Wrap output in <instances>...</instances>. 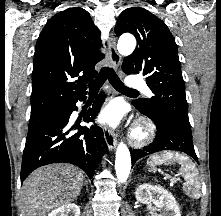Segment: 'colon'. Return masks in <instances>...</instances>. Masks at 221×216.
<instances>
[{
  "label": "colon",
  "instance_id": "colon-1",
  "mask_svg": "<svg viewBox=\"0 0 221 216\" xmlns=\"http://www.w3.org/2000/svg\"><path fill=\"white\" fill-rule=\"evenodd\" d=\"M189 216H194L193 214H190Z\"/></svg>",
  "mask_w": 221,
  "mask_h": 216
}]
</instances>
